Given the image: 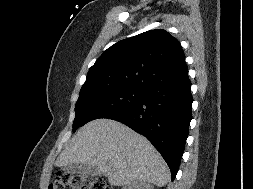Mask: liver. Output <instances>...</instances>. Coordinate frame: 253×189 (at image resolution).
Masks as SVG:
<instances>
[{
  "instance_id": "6515ba94",
  "label": "liver",
  "mask_w": 253,
  "mask_h": 189,
  "mask_svg": "<svg viewBox=\"0 0 253 189\" xmlns=\"http://www.w3.org/2000/svg\"><path fill=\"white\" fill-rule=\"evenodd\" d=\"M79 163L97 167L113 186L142 180L163 187L170 180L169 168L154 146L110 119H96L81 127L55 165Z\"/></svg>"
}]
</instances>
